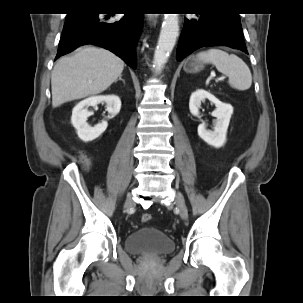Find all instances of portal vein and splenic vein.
<instances>
[{
    "label": "portal vein and splenic vein",
    "mask_w": 303,
    "mask_h": 303,
    "mask_svg": "<svg viewBox=\"0 0 303 303\" xmlns=\"http://www.w3.org/2000/svg\"><path fill=\"white\" fill-rule=\"evenodd\" d=\"M213 77H215V73H211V78H213ZM225 79V77H219L217 80L218 81H221V80H224Z\"/></svg>",
    "instance_id": "1"
}]
</instances>
